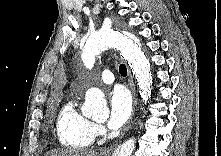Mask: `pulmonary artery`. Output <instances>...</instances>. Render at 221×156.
<instances>
[{
  "mask_svg": "<svg viewBox=\"0 0 221 156\" xmlns=\"http://www.w3.org/2000/svg\"><path fill=\"white\" fill-rule=\"evenodd\" d=\"M100 79L105 84H111L114 81V75L111 71L104 70L100 75Z\"/></svg>",
  "mask_w": 221,
  "mask_h": 156,
  "instance_id": "pulmonary-artery-1",
  "label": "pulmonary artery"
}]
</instances>
